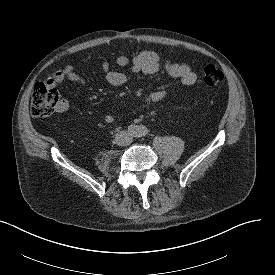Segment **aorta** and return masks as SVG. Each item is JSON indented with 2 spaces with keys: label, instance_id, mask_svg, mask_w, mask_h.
Wrapping results in <instances>:
<instances>
[{
  "label": "aorta",
  "instance_id": "obj_1",
  "mask_svg": "<svg viewBox=\"0 0 275 275\" xmlns=\"http://www.w3.org/2000/svg\"><path fill=\"white\" fill-rule=\"evenodd\" d=\"M146 130L142 127V128H140L139 130H136L135 131V134L136 135H140V134H142V133H144Z\"/></svg>",
  "mask_w": 275,
  "mask_h": 275
}]
</instances>
